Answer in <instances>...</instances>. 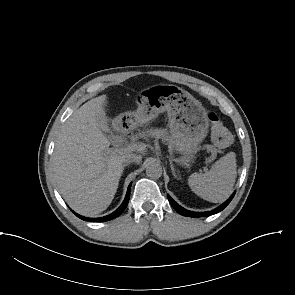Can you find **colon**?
Wrapping results in <instances>:
<instances>
[{
  "label": "colon",
  "mask_w": 295,
  "mask_h": 295,
  "mask_svg": "<svg viewBox=\"0 0 295 295\" xmlns=\"http://www.w3.org/2000/svg\"><path fill=\"white\" fill-rule=\"evenodd\" d=\"M211 138L213 143L221 148L227 147L232 143V135L229 130L223 125L219 116L216 113L208 115Z\"/></svg>",
  "instance_id": "colon-1"
}]
</instances>
